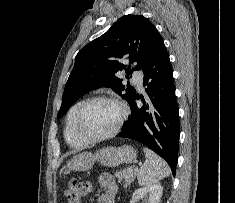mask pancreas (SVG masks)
Returning a JSON list of instances; mask_svg holds the SVG:
<instances>
[{
	"label": "pancreas",
	"instance_id": "1",
	"mask_svg": "<svg viewBox=\"0 0 235 203\" xmlns=\"http://www.w3.org/2000/svg\"><path fill=\"white\" fill-rule=\"evenodd\" d=\"M115 176L119 180H123L125 185L127 186V185L131 184V182L135 179L136 171H134L133 166H130V167H127L123 170L116 171Z\"/></svg>",
	"mask_w": 235,
	"mask_h": 203
}]
</instances>
